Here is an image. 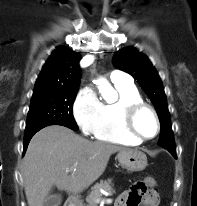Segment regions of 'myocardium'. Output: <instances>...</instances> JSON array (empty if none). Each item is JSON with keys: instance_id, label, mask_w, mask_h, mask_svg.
Masks as SVG:
<instances>
[{"instance_id": "myocardium-1", "label": "myocardium", "mask_w": 197, "mask_h": 206, "mask_svg": "<svg viewBox=\"0 0 197 206\" xmlns=\"http://www.w3.org/2000/svg\"><path fill=\"white\" fill-rule=\"evenodd\" d=\"M145 110L153 115L156 122V132L150 137L141 135L136 128V118ZM121 121L125 132L140 142L154 139L161 130V123L157 111L154 107L143 101L124 105L121 111Z\"/></svg>"}]
</instances>
